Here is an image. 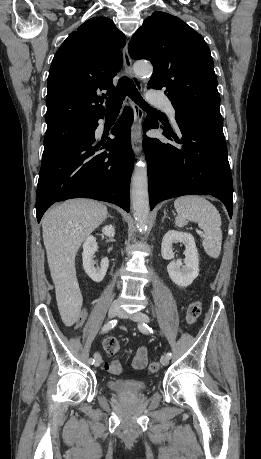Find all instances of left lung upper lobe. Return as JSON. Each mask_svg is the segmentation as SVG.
I'll use <instances>...</instances> for the list:
<instances>
[{"label":"left lung upper lobe","mask_w":261,"mask_h":459,"mask_svg":"<svg viewBox=\"0 0 261 459\" xmlns=\"http://www.w3.org/2000/svg\"><path fill=\"white\" fill-rule=\"evenodd\" d=\"M134 59H150L148 86L165 89L179 121H222L213 59L203 37L178 17L154 12L129 42Z\"/></svg>","instance_id":"1"}]
</instances>
